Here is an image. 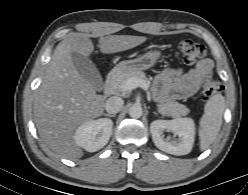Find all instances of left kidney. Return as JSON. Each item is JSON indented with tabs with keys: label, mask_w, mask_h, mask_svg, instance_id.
<instances>
[{
	"label": "left kidney",
	"mask_w": 248,
	"mask_h": 195,
	"mask_svg": "<svg viewBox=\"0 0 248 195\" xmlns=\"http://www.w3.org/2000/svg\"><path fill=\"white\" fill-rule=\"evenodd\" d=\"M154 144L160 150L173 154H188L195 140V123L191 118H176L173 120H155L150 125ZM164 131L174 133L178 140H168L164 137Z\"/></svg>",
	"instance_id": "obj_1"
}]
</instances>
